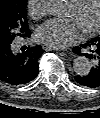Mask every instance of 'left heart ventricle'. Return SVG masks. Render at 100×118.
I'll return each mask as SVG.
<instances>
[{
	"instance_id": "obj_1",
	"label": "left heart ventricle",
	"mask_w": 100,
	"mask_h": 118,
	"mask_svg": "<svg viewBox=\"0 0 100 118\" xmlns=\"http://www.w3.org/2000/svg\"><path fill=\"white\" fill-rule=\"evenodd\" d=\"M98 0H86L83 6L76 9L70 6L67 17L75 19L83 31L92 28L98 21Z\"/></svg>"
}]
</instances>
